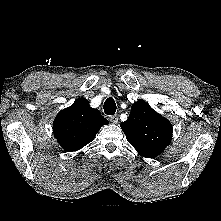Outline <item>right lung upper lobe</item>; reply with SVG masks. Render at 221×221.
I'll use <instances>...</instances> for the list:
<instances>
[{
	"instance_id": "right-lung-upper-lobe-1",
	"label": "right lung upper lobe",
	"mask_w": 221,
	"mask_h": 221,
	"mask_svg": "<svg viewBox=\"0 0 221 221\" xmlns=\"http://www.w3.org/2000/svg\"><path fill=\"white\" fill-rule=\"evenodd\" d=\"M107 124L109 121L99 110L91 108L85 98H79L57 115L53 130L59 144L72 152L93 141L100 128Z\"/></svg>"
}]
</instances>
